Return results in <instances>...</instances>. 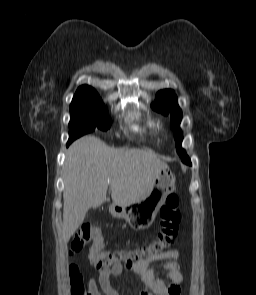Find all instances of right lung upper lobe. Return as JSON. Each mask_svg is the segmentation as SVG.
<instances>
[{
  "label": "right lung upper lobe",
  "mask_w": 256,
  "mask_h": 295,
  "mask_svg": "<svg viewBox=\"0 0 256 295\" xmlns=\"http://www.w3.org/2000/svg\"><path fill=\"white\" fill-rule=\"evenodd\" d=\"M88 100H101L98 93L92 87L88 85H83L78 88L75 93V96L72 100V104L81 102V101H88Z\"/></svg>",
  "instance_id": "1"
}]
</instances>
